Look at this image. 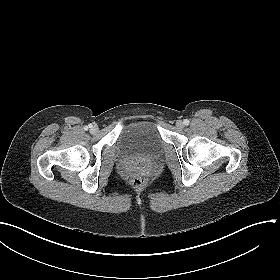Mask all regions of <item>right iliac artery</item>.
<instances>
[{
  "mask_svg": "<svg viewBox=\"0 0 280 280\" xmlns=\"http://www.w3.org/2000/svg\"><path fill=\"white\" fill-rule=\"evenodd\" d=\"M89 127L91 128L92 125L90 124ZM84 129L87 130V129H88V126H85Z\"/></svg>",
  "mask_w": 280,
  "mask_h": 280,
  "instance_id": "82829eb1",
  "label": "right iliac artery"
}]
</instances>
